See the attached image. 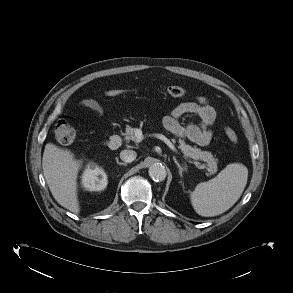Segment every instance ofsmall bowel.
I'll return each mask as SVG.
<instances>
[{"mask_svg": "<svg viewBox=\"0 0 293 293\" xmlns=\"http://www.w3.org/2000/svg\"><path fill=\"white\" fill-rule=\"evenodd\" d=\"M82 107L92 110L97 116H102L104 110L94 99H83ZM187 116L198 118L199 122L190 121L186 125L181 120ZM216 111L204 97L179 104L174 108L171 115L163 119L165 129L175 136L188 140L199 146H206L213 137L212 125L216 120Z\"/></svg>", "mask_w": 293, "mask_h": 293, "instance_id": "c3829d8e", "label": "small bowel"}]
</instances>
